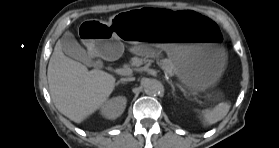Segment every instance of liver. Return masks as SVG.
Returning <instances> with one entry per match:
<instances>
[{
  "mask_svg": "<svg viewBox=\"0 0 279 148\" xmlns=\"http://www.w3.org/2000/svg\"><path fill=\"white\" fill-rule=\"evenodd\" d=\"M47 78L51 99L60 113L81 123L97 111L115 87V77L102 70H91L67 57L58 41L51 55Z\"/></svg>",
  "mask_w": 279,
  "mask_h": 148,
  "instance_id": "liver-1",
  "label": "liver"
}]
</instances>
